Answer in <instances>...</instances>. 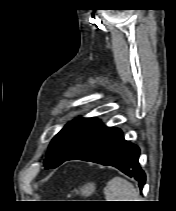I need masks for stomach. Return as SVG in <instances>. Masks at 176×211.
<instances>
[{"mask_svg":"<svg viewBox=\"0 0 176 211\" xmlns=\"http://www.w3.org/2000/svg\"><path fill=\"white\" fill-rule=\"evenodd\" d=\"M94 191H95L94 183H88L81 188V193L86 196L93 194Z\"/></svg>","mask_w":176,"mask_h":211,"instance_id":"0dacf381","label":"stomach"}]
</instances>
